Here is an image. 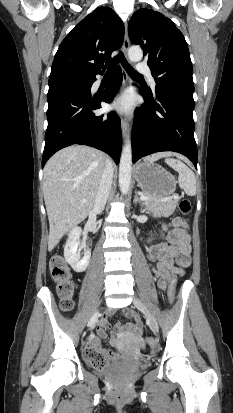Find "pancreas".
<instances>
[{
    "label": "pancreas",
    "mask_w": 233,
    "mask_h": 413,
    "mask_svg": "<svg viewBox=\"0 0 233 413\" xmlns=\"http://www.w3.org/2000/svg\"><path fill=\"white\" fill-rule=\"evenodd\" d=\"M177 203H178V199H175L173 201L162 202V201L154 200L153 198V199L144 201L143 204L146 206L147 210L152 211L154 214L163 216V217H168L174 213Z\"/></svg>",
    "instance_id": "pancreas-1"
}]
</instances>
